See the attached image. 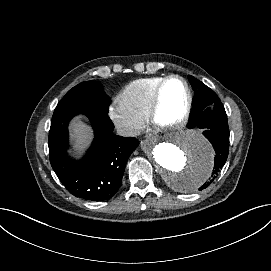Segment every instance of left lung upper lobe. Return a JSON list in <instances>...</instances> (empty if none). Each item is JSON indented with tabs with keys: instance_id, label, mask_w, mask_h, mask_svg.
<instances>
[{
	"instance_id": "1",
	"label": "left lung upper lobe",
	"mask_w": 271,
	"mask_h": 271,
	"mask_svg": "<svg viewBox=\"0 0 271 271\" xmlns=\"http://www.w3.org/2000/svg\"><path fill=\"white\" fill-rule=\"evenodd\" d=\"M188 79L194 90L191 119L198 116L202 109L208 105L221 102L217 94L204 83L189 75Z\"/></svg>"
}]
</instances>
